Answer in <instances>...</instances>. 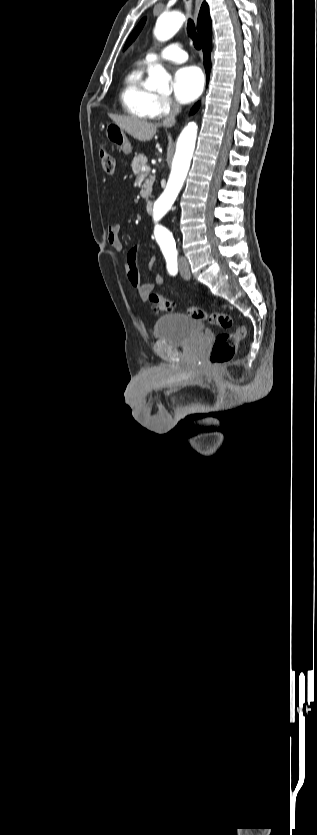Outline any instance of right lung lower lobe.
Listing matches in <instances>:
<instances>
[{"instance_id":"right-lung-lower-lobe-1","label":"right lung lower lobe","mask_w":317,"mask_h":835,"mask_svg":"<svg viewBox=\"0 0 317 835\" xmlns=\"http://www.w3.org/2000/svg\"><path fill=\"white\" fill-rule=\"evenodd\" d=\"M211 50H212V30H209V32L205 35V37H203L204 66H205V70H206L207 80H208V77H209V72L211 70V59H210ZM199 104L200 103H197L193 107L192 112H195L198 109Z\"/></svg>"}]
</instances>
